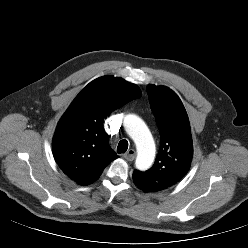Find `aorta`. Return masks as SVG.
<instances>
[{"label":"aorta","instance_id":"aorta-1","mask_svg":"<svg viewBox=\"0 0 248 248\" xmlns=\"http://www.w3.org/2000/svg\"><path fill=\"white\" fill-rule=\"evenodd\" d=\"M124 127L127 134L132 138L137 149L136 167L147 170L155 158V143L144 121L133 114L124 119Z\"/></svg>","mask_w":248,"mask_h":248}]
</instances>
